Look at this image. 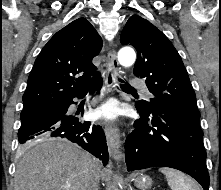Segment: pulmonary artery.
Masks as SVG:
<instances>
[{"label":"pulmonary artery","instance_id":"obj_1","mask_svg":"<svg viewBox=\"0 0 221 190\" xmlns=\"http://www.w3.org/2000/svg\"><path fill=\"white\" fill-rule=\"evenodd\" d=\"M131 86L136 88H144V82L139 78H134L131 80ZM148 97H151V94L149 92H146Z\"/></svg>","mask_w":221,"mask_h":190}]
</instances>
